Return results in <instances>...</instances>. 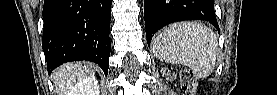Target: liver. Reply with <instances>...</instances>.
Returning <instances> with one entry per match:
<instances>
[{"label":"liver","mask_w":277,"mask_h":95,"mask_svg":"<svg viewBox=\"0 0 277 95\" xmlns=\"http://www.w3.org/2000/svg\"><path fill=\"white\" fill-rule=\"evenodd\" d=\"M94 75V69L89 64L81 62L67 63L58 67L53 73L57 95H75L80 81Z\"/></svg>","instance_id":"6515ba94"}]
</instances>
